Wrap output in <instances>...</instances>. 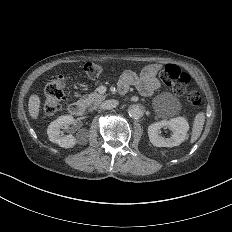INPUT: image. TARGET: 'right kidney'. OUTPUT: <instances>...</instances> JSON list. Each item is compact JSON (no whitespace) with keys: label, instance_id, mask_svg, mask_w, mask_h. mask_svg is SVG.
<instances>
[{"label":"right kidney","instance_id":"1","mask_svg":"<svg viewBox=\"0 0 232 232\" xmlns=\"http://www.w3.org/2000/svg\"><path fill=\"white\" fill-rule=\"evenodd\" d=\"M74 122V118L71 115H63L50 123L47 129L49 140L58 144L60 147L71 148L76 143L85 145L87 140L83 137L76 139L72 134L64 135L61 128H68L70 124Z\"/></svg>","mask_w":232,"mask_h":232}]
</instances>
